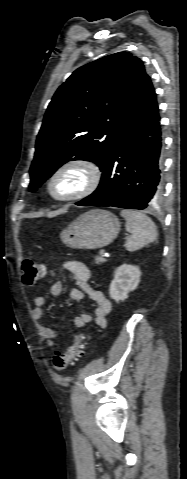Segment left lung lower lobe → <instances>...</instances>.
Listing matches in <instances>:
<instances>
[{"label": "left lung lower lobe", "instance_id": "left-lung-lower-lobe-1", "mask_svg": "<svg viewBox=\"0 0 187 479\" xmlns=\"http://www.w3.org/2000/svg\"><path fill=\"white\" fill-rule=\"evenodd\" d=\"M162 136L155 90L145 76L97 190L79 206L144 209L162 192Z\"/></svg>", "mask_w": 187, "mask_h": 479}]
</instances>
